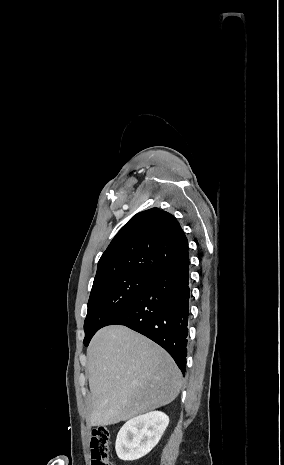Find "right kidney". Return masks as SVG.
<instances>
[{
  "instance_id": "obj_1",
  "label": "right kidney",
  "mask_w": 284,
  "mask_h": 465,
  "mask_svg": "<svg viewBox=\"0 0 284 465\" xmlns=\"http://www.w3.org/2000/svg\"><path fill=\"white\" fill-rule=\"evenodd\" d=\"M169 417L161 411H151L127 421L116 439V453L122 461H136L145 457L160 441Z\"/></svg>"
}]
</instances>
